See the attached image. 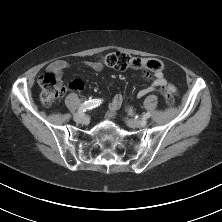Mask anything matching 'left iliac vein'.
I'll use <instances>...</instances> for the list:
<instances>
[{
  "label": "left iliac vein",
  "mask_w": 222,
  "mask_h": 222,
  "mask_svg": "<svg viewBox=\"0 0 222 222\" xmlns=\"http://www.w3.org/2000/svg\"><path fill=\"white\" fill-rule=\"evenodd\" d=\"M126 124L131 128H140L146 126L147 121L146 120L136 121L133 119H128L126 120Z\"/></svg>",
  "instance_id": "left-iliac-vein-1"
}]
</instances>
